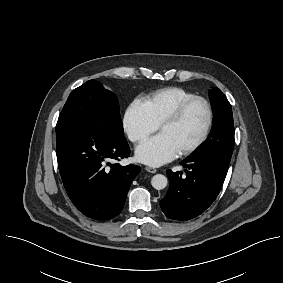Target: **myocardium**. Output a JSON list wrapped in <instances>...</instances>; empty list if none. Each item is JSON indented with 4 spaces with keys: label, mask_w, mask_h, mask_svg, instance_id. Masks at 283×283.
I'll return each mask as SVG.
<instances>
[{
    "label": "myocardium",
    "mask_w": 283,
    "mask_h": 283,
    "mask_svg": "<svg viewBox=\"0 0 283 283\" xmlns=\"http://www.w3.org/2000/svg\"><path fill=\"white\" fill-rule=\"evenodd\" d=\"M202 103L207 111V123L201 136L191 145L179 151L180 156H187L198 150L207 140L214 122V111L211 103L202 96H194L183 101L169 116L159 124V130L168 125L177 124L185 115L186 111L195 103Z\"/></svg>",
    "instance_id": "f54148a6"
}]
</instances>
